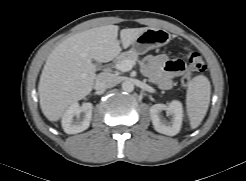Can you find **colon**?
<instances>
[{"instance_id": "5ec220e1", "label": "colon", "mask_w": 246, "mask_h": 181, "mask_svg": "<svg viewBox=\"0 0 246 181\" xmlns=\"http://www.w3.org/2000/svg\"><path fill=\"white\" fill-rule=\"evenodd\" d=\"M185 52V57H186V64L188 68L191 71H196V72H203L205 70V63L201 57V55L194 50H191L189 48L184 49ZM191 82V75L190 73H184L181 76V84L184 87H187Z\"/></svg>"}]
</instances>
